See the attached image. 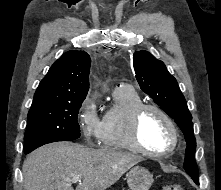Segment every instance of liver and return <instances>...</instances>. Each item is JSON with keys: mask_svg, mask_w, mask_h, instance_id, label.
Masks as SVG:
<instances>
[{"mask_svg": "<svg viewBox=\"0 0 221 190\" xmlns=\"http://www.w3.org/2000/svg\"><path fill=\"white\" fill-rule=\"evenodd\" d=\"M143 157L127 151L86 148L69 142L44 145L23 163L24 190H74L72 179H82L75 190H106Z\"/></svg>", "mask_w": 221, "mask_h": 190, "instance_id": "liver-1", "label": "liver"}]
</instances>
